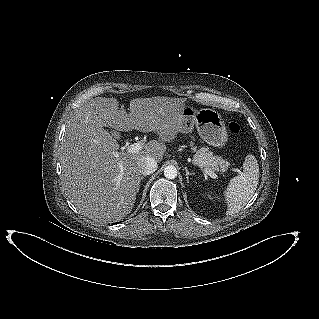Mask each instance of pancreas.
<instances>
[{"mask_svg": "<svg viewBox=\"0 0 319 319\" xmlns=\"http://www.w3.org/2000/svg\"><path fill=\"white\" fill-rule=\"evenodd\" d=\"M191 146H193V143H191ZM192 149L196 152L192 160L194 165L212 171H218L220 169L222 172H225L228 169L229 163L222 157L213 155L208 148L203 147L197 150L196 147H193Z\"/></svg>", "mask_w": 319, "mask_h": 319, "instance_id": "cf45deb5", "label": "pancreas"}]
</instances>
